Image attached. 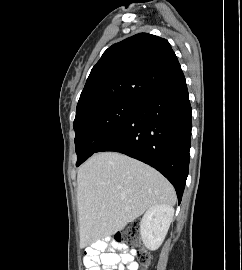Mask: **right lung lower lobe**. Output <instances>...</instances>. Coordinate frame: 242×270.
Instances as JSON below:
<instances>
[{
	"instance_id": "right-lung-lower-lobe-1",
	"label": "right lung lower lobe",
	"mask_w": 242,
	"mask_h": 270,
	"mask_svg": "<svg viewBox=\"0 0 242 270\" xmlns=\"http://www.w3.org/2000/svg\"><path fill=\"white\" fill-rule=\"evenodd\" d=\"M191 128V106L181 71L137 100L122 125L95 152H120L154 167L172 183L180 204L188 175Z\"/></svg>"
}]
</instances>
